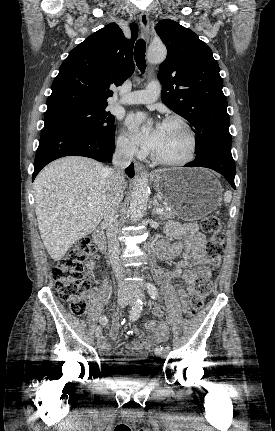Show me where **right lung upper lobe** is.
Here are the masks:
<instances>
[{
  "label": "right lung upper lobe",
  "instance_id": "right-lung-upper-lobe-1",
  "mask_svg": "<svg viewBox=\"0 0 275 431\" xmlns=\"http://www.w3.org/2000/svg\"><path fill=\"white\" fill-rule=\"evenodd\" d=\"M126 39L116 23H110L75 47L63 61L52 83L47 111L105 105L113 95L111 85H121L133 72V45L137 25H130Z\"/></svg>",
  "mask_w": 275,
  "mask_h": 431
}]
</instances>
